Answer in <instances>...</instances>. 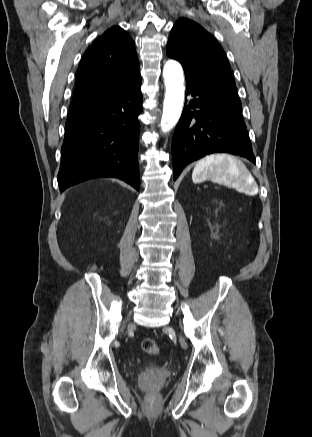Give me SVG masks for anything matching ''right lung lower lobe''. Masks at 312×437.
Wrapping results in <instances>:
<instances>
[{"instance_id": "obj_1", "label": "right lung lower lobe", "mask_w": 312, "mask_h": 437, "mask_svg": "<svg viewBox=\"0 0 312 437\" xmlns=\"http://www.w3.org/2000/svg\"><path fill=\"white\" fill-rule=\"evenodd\" d=\"M141 77L106 100L68 114L61 148L59 189L96 177L140 188L137 160Z\"/></svg>"}]
</instances>
